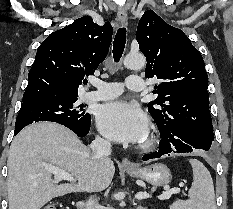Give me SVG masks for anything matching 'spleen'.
<instances>
[{
  "instance_id": "3e777b00",
  "label": "spleen",
  "mask_w": 233,
  "mask_h": 209,
  "mask_svg": "<svg viewBox=\"0 0 233 209\" xmlns=\"http://www.w3.org/2000/svg\"><path fill=\"white\" fill-rule=\"evenodd\" d=\"M193 170V182L189 199L177 200L170 209H216L213 180L207 168L198 160H189Z\"/></svg>"
}]
</instances>
